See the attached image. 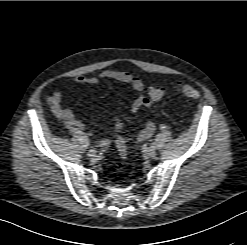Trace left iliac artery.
Here are the masks:
<instances>
[{
	"label": "left iliac artery",
	"mask_w": 247,
	"mask_h": 245,
	"mask_svg": "<svg viewBox=\"0 0 247 245\" xmlns=\"http://www.w3.org/2000/svg\"><path fill=\"white\" fill-rule=\"evenodd\" d=\"M162 130H164L166 128V126L164 124L161 125L160 127Z\"/></svg>",
	"instance_id": "obj_1"
}]
</instances>
